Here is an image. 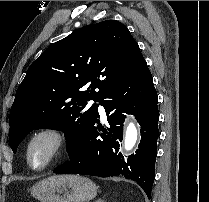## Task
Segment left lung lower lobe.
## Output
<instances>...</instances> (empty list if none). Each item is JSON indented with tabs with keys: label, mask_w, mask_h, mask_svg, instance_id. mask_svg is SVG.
Masks as SVG:
<instances>
[{
	"label": "left lung lower lobe",
	"mask_w": 209,
	"mask_h": 202,
	"mask_svg": "<svg viewBox=\"0 0 209 202\" xmlns=\"http://www.w3.org/2000/svg\"><path fill=\"white\" fill-rule=\"evenodd\" d=\"M157 101L152 75L145 62L100 100L99 104L107 114L108 126H99L97 105L85 136L69 150L70 160L55 169L54 173L123 176L137 182L150 199L159 137ZM123 113L135 115L141 126V141L136 154L128 158L119 153L125 119Z\"/></svg>",
	"instance_id": "1"
}]
</instances>
